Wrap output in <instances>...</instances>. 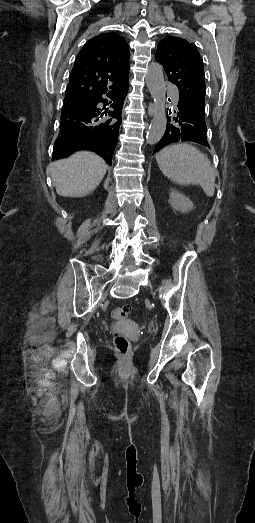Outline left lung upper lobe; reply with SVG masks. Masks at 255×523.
<instances>
[{
  "instance_id": "obj_1",
  "label": "left lung upper lobe",
  "mask_w": 255,
  "mask_h": 523,
  "mask_svg": "<svg viewBox=\"0 0 255 523\" xmlns=\"http://www.w3.org/2000/svg\"><path fill=\"white\" fill-rule=\"evenodd\" d=\"M155 57L164 67L168 80L179 89L178 105L188 110L187 115H195L197 121L205 123L203 60L196 46L185 39L166 37L158 44Z\"/></svg>"
}]
</instances>
